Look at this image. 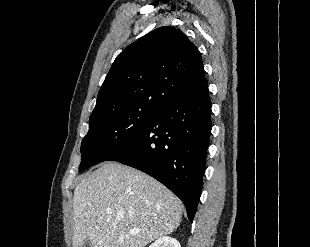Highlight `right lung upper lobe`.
Segmentation results:
<instances>
[{
    "mask_svg": "<svg viewBox=\"0 0 310 247\" xmlns=\"http://www.w3.org/2000/svg\"><path fill=\"white\" fill-rule=\"evenodd\" d=\"M205 84L197 47L181 30L160 27L116 57L90 118L127 108L158 110Z\"/></svg>",
    "mask_w": 310,
    "mask_h": 247,
    "instance_id": "obj_1",
    "label": "right lung upper lobe"
}]
</instances>
